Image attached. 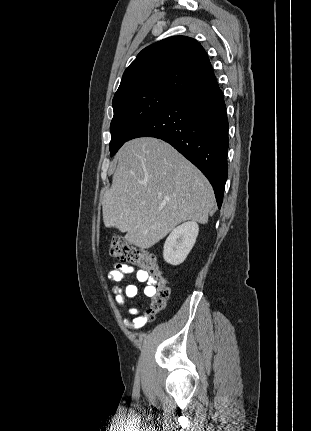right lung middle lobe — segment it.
<instances>
[{"mask_svg":"<svg viewBox=\"0 0 311 431\" xmlns=\"http://www.w3.org/2000/svg\"><path fill=\"white\" fill-rule=\"evenodd\" d=\"M180 95L160 89L146 88L113 98L114 116L111 121L110 155L129 140L131 133Z\"/></svg>","mask_w":311,"mask_h":431,"instance_id":"right-lung-middle-lobe-1","label":"right lung middle lobe"}]
</instances>
